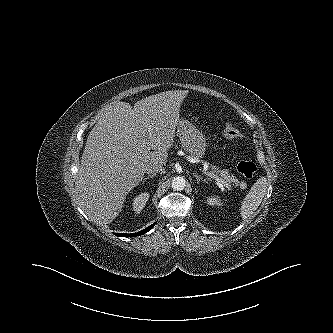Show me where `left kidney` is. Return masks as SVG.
I'll return each mask as SVG.
<instances>
[{
  "instance_id": "obj_1",
  "label": "left kidney",
  "mask_w": 333,
  "mask_h": 333,
  "mask_svg": "<svg viewBox=\"0 0 333 333\" xmlns=\"http://www.w3.org/2000/svg\"><path fill=\"white\" fill-rule=\"evenodd\" d=\"M207 203L210 206H218V207L222 206V202H221L220 197L219 196H215V195L209 196L207 198Z\"/></svg>"
}]
</instances>
